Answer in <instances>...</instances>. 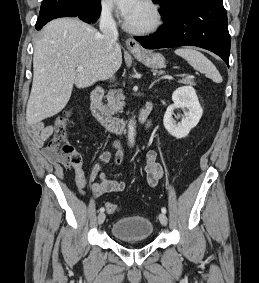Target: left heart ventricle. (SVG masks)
Returning <instances> with one entry per match:
<instances>
[{"instance_id": "b2bd125f", "label": "left heart ventricle", "mask_w": 259, "mask_h": 283, "mask_svg": "<svg viewBox=\"0 0 259 283\" xmlns=\"http://www.w3.org/2000/svg\"><path fill=\"white\" fill-rule=\"evenodd\" d=\"M127 21L134 27H145L152 23L153 13L151 9L141 1L136 11L127 19Z\"/></svg>"}]
</instances>
